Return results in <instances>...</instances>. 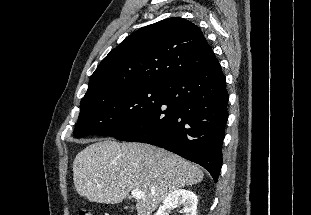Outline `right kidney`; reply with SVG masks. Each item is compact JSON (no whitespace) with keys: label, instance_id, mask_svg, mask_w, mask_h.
I'll list each match as a JSON object with an SVG mask.
<instances>
[{"label":"right kidney","instance_id":"right-kidney-1","mask_svg":"<svg viewBox=\"0 0 311 215\" xmlns=\"http://www.w3.org/2000/svg\"><path fill=\"white\" fill-rule=\"evenodd\" d=\"M197 203V196L194 192L186 189L174 190L163 200L155 215H168L178 205H183L184 215H197Z\"/></svg>","mask_w":311,"mask_h":215}]
</instances>
